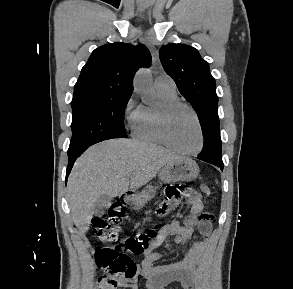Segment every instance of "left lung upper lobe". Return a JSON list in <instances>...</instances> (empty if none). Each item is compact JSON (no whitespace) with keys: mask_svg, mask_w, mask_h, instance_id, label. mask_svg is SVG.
<instances>
[{"mask_svg":"<svg viewBox=\"0 0 293 289\" xmlns=\"http://www.w3.org/2000/svg\"><path fill=\"white\" fill-rule=\"evenodd\" d=\"M160 60L165 72L175 81L179 92L196 111L203 134L219 130L218 97L216 83L208 63L197 49L169 43L159 50ZM211 160L222 161L221 149Z\"/></svg>","mask_w":293,"mask_h":289,"instance_id":"1","label":"left lung upper lobe"}]
</instances>
